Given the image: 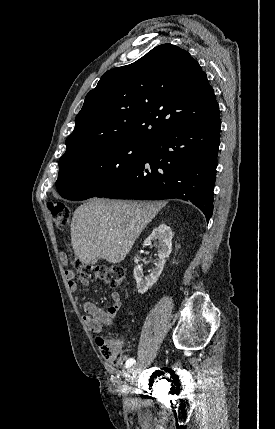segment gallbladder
<instances>
[{
  "label": "gallbladder",
  "instance_id": "gallbladder-1",
  "mask_svg": "<svg viewBox=\"0 0 275 429\" xmlns=\"http://www.w3.org/2000/svg\"><path fill=\"white\" fill-rule=\"evenodd\" d=\"M98 260H99V258L93 259V260L91 261V263H92V264H96V263L98 262Z\"/></svg>",
  "mask_w": 275,
  "mask_h": 429
}]
</instances>
